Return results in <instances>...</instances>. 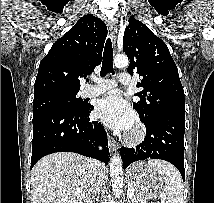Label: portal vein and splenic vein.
I'll list each match as a JSON object with an SVG mask.
<instances>
[{
  "mask_svg": "<svg viewBox=\"0 0 214 203\" xmlns=\"http://www.w3.org/2000/svg\"><path fill=\"white\" fill-rule=\"evenodd\" d=\"M133 196H134V191L131 188H128L127 197L131 199Z\"/></svg>",
  "mask_w": 214,
  "mask_h": 203,
  "instance_id": "1",
  "label": "portal vein and splenic vein"
}]
</instances>
